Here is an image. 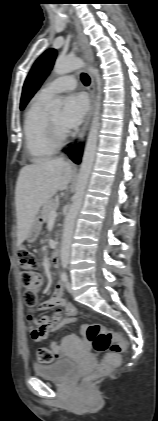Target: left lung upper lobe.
<instances>
[{
    "instance_id": "obj_1",
    "label": "left lung upper lobe",
    "mask_w": 158,
    "mask_h": 421,
    "mask_svg": "<svg viewBox=\"0 0 158 421\" xmlns=\"http://www.w3.org/2000/svg\"><path fill=\"white\" fill-rule=\"evenodd\" d=\"M55 57L56 51L54 49H48L37 59V61L33 65L23 86V92L20 103L21 110L24 109L26 104L36 93V91L41 86L42 82L49 74L54 64Z\"/></svg>"
}]
</instances>
